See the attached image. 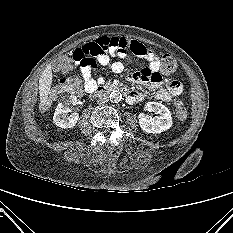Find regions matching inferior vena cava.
<instances>
[{
    "instance_id": "inferior-vena-cava-1",
    "label": "inferior vena cava",
    "mask_w": 233,
    "mask_h": 233,
    "mask_svg": "<svg viewBox=\"0 0 233 233\" xmlns=\"http://www.w3.org/2000/svg\"><path fill=\"white\" fill-rule=\"evenodd\" d=\"M109 101V97L106 94L99 93L97 95V102L98 104L102 105Z\"/></svg>"
}]
</instances>
